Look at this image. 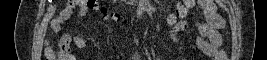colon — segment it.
<instances>
[{
	"mask_svg": "<svg viewBox=\"0 0 267 60\" xmlns=\"http://www.w3.org/2000/svg\"><path fill=\"white\" fill-rule=\"evenodd\" d=\"M75 3H77L79 5V7L87 13L90 11H100L103 15H108V13H109V9H107L106 7L100 6L99 1H97V0H78V1H75ZM188 4H189L188 0L178 1V5H177L176 10H175L176 15L178 16L179 14L183 13L184 8H186L188 6ZM173 17H172V19H173ZM45 53H46V56L48 59H57V57L59 56L57 50L50 45H48L46 47ZM62 53L65 55V53L63 51H62Z\"/></svg>",
	"mask_w": 267,
	"mask_h": 60,
	"instance_id": "1",
	"label": "colon"
}]
</instances>
